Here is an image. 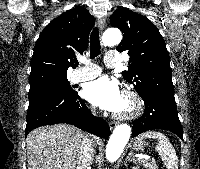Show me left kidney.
I'll use <instances>...</instances> for the list:
<instances>
[{"instance_id": "obj_1", "label": "left kidney", "mask_w": 200, "mask_h": 169, "mask_svg": "<svg viewBox=\"0 0 200 169\" xmlns=\"http://www.w3.org/2000/svg\"><path fill=\"white\" fill-rule=\"evenodd\" d=\"M132 169H138V168H136V167H133Z\"/></svg>"}]
</instances>
